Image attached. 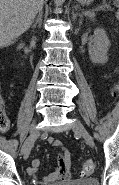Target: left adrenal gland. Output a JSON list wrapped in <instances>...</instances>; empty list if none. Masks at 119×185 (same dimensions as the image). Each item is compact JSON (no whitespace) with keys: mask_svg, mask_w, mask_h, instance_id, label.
I'll use <instances>...</instances> for the list:
<instances>
[{"mask_svg":"<svg viewBox=\"0 0 119 185\" xmlns=\"http://www.w3.org/2000/svg\"><path fill=\"white\" fill-rule=\"evenodd\" d=\"M77 16H79L81 19L83 17L81 13H76V14L73 13V19H75Z\"/></svg>","mask_w":119,"mask_h":185,"instance_id":"left-adrenal-gland-1","label":"left adrenal gland"}]
</instances>
